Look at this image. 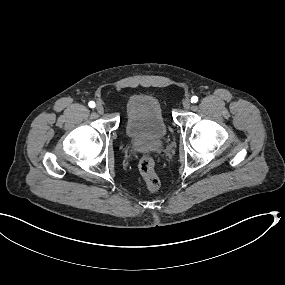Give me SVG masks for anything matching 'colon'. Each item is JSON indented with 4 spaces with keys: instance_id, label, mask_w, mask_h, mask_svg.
Segmentation results:
<instances>
[{
    "instance_id": "colon-1",
    "label": "colon",
    "mask_w": 285,
    "mask_h": 285,
    "mask_svg": "<svg viewBox=\"0 0 285 285\" xmlns=\"http://www.w3.org/2000/svg\"><path fill=\"white\" fill-rule=\"evenodd\" d=\"M139 170L148 189L152 192L157 191L160 186V180L155 170V162L153 158L149 156L143 157L139 162Z\"/></svg>"
}]
</instances>
